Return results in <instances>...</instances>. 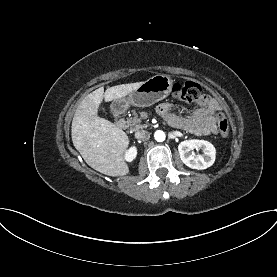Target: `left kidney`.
I'll return each instance as SVG.
<instances>
[{"instance_id":"1","label":"left kidney","mask_w":277,"mask_h":277,"mask_svg":"<svg viewBox=\"0 0 277 277\" xmlns=\"http://www.w3.org/2000/svg\"><path fill=\"white\" fill-rule=\"evenodd\" d=\"M194 149H200L201 154L195 156ZM182 162L192 169L203 170L213 165L216 157L215 147L205 140H185L178 146Z\"/></svg>"}]
</instances>
